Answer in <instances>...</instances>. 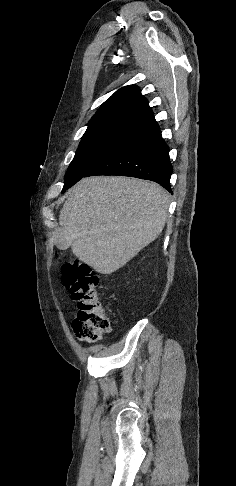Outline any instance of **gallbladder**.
<instances>
[{"instance_id": "bac80fb5", "label": "gallbladder", "mask_w": 236, "mask_h": 486, "mask_svg": "<svg viewBox=\"0 0 236 486\" xmlns=\"http://www.w3.org/2000/svg\"><path fill=\"white\" fill-rule=\"evenodd\" d=\"M62 238H63V233L62 231L59 229L57 230L56 232V237H55V243H56V246L59 248V249H62V250H65L67 249L69 246L66 242L62 241Z\"/></svg>"}]
</instances>
